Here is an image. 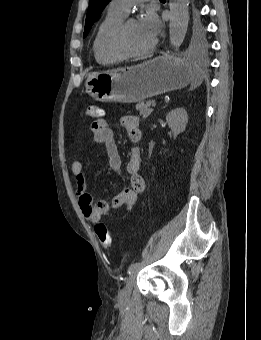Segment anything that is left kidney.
<instances>
[{"label": "left kidney", "instance_id": "left-kidney-1", "mask_svg": "<svg viewBox=\"0 0 261 340\" xmlns=\"http://www.w3.org/2000/svg\"><path fill=\"white\" fill-rule=\"evenodd\" d=\"M166 122L174 134V138L183 132L188 123V115L184 108H176L166 116Z\"/></svg>", "mask_w": 261, "mask_h": 340}]
</instances>
